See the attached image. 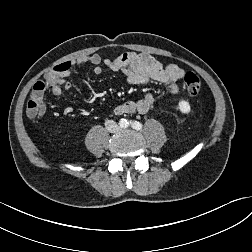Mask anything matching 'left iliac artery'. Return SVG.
Listing matches in <instances>:
<instances>
[{
    "label": "left iliac artery",
    "mask_w": 252,
    "mask_h": 252,
    "mask_svg": "<svg viewBox=\"0 0 252 252\" xmlns=\"http://www.w3.org/2000/svg\"><path fill=\"white\" fill-rule=\"evenodd\" d=\"M131 126H132V128H134L136 130L142 129V124L140 122H138V121H133L131 123Z\"/></svg>",
    "instance_id": "obj_1"
}]
</instances>
